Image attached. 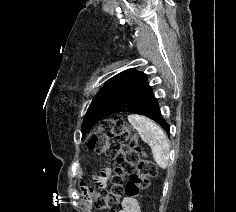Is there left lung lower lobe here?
Instances as JSON below:
<instances>
[{"label":"left lung lower lobe","mask_w":236,"mask_h":212,"mask_svg":"<svg viewBox=\"0 0 236 212\" xmlns=\"http://www.w3.org/2000/svg\"><path fill=\"white\" fill-rule=\"evenodd\" d=\"M119 112H130L147 116L159 123L168 136H170L169 125L161 115L158 100L149 85L147 75L143 72L136 70L133 72L120 92L103 111L99 120Z\"/></svg>","instance_id":"left-lung-lower-lobe-1"}]
</instances>
